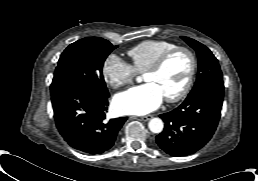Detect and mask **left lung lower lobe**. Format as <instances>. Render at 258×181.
Segmentation results:
<instances>
[{
	"label": "left lung lower lobe",
	"instance_id": "left-lung-lower-lobe-1",
	"mask_svg": "<svg viewBox=\"0 0 258 181\" xmlns=\"http://www.w3.org/2000/svg\"><path fill=\"white\" fill-rule=\"evenodd\" d=\"M223 102V90L209 89L186 99L169 113L161 114L164 130L156 136L158 146L180 157L202 148L216 130Z\"/></svg>",
	"mask_w": 258,
	"mask_h": 181
}]
</instances>
